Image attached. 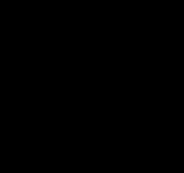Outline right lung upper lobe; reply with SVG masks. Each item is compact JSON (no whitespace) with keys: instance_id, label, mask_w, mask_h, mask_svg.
I'll list each match as a JSON object with an SVG mask.
<instances>
[{"instance_id":"1","label":"right lung upper lobe","mask_w":184,"mask_h":173,"mask_svg":"<svg viewBox=\"0 0 184 173\" xmlns=\"http://www.w3.org/2000/svg\"><path fill=\"white\" fill-rule=\"evenodd\" d=\"M77 55L78 51L68 46L54 48L43 54L22 79L11 108L17 133L69 117L67 77Z\"/></svg>"}]
</instances>
